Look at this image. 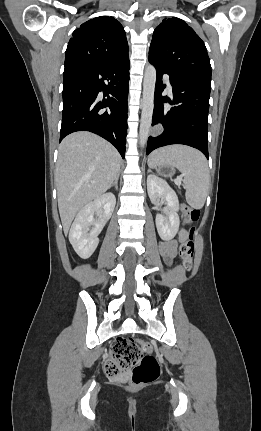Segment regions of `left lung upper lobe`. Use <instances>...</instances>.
<instances>
[{"mask_svg":"<svg viewBox=\"0 0 261 431\" xmlns=\"http://www.w3.org/2000/svg\"><path fill=\"white\" fill-rule=\"evenodd\" d=\"M149 58L173 71L211 81V65L205 44L181 19L165 18L156 27Z\"/></svg>","mask_w":261,"mask_h":431,"instance_id":"5c2ea615","label":"left lung upper lobe"}]
</instances>
